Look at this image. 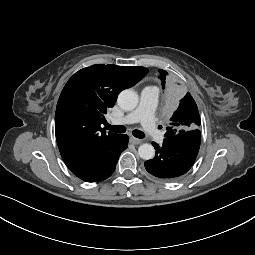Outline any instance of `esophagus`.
I'll return each instance as SVG.
<instances>
[{"label": "esophagus", "instance_id": "esophagus-1", "mask_svg": "<svg viewBox=\"0 0 255 255\" xmlns=\"http://www.w3.org/2000/svg\"><path fill=\"white\" fill-rule=\"evenodd\" d=\"M130 142H131L132 144L137 145V144H140V143L142 142V140L131 136V137H130Z\"/></svg>", "mask_w": 255, "mask_h": 255}]
</instances>
